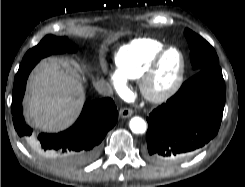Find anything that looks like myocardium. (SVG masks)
I'll use <instances>...</instances> for the list:
<instances>
[{
    "label": "myocardium",
    "mask_w": 245,
    "mask_h": 187,
    "mask_svg": "<svg viewBox=\"0 0 245 187\" xmlns=\"http://www.w3.org/2000/svg\"><path fill=\"white\" fill-rule=\"evenodd\" d=\"M170 51H176L180 58V67L179 70L174 77L173 81L165 88L161 90H155L153 88V84L155 79L158 76L161 63L164 57ZM186 70V60L184 53L176 46H167L164 47L155 57L150 67L144 73V75L140 78V91L143 97L155 104H160L166 102L170 98H172L180 89L185 75Z\"/></svg>",
    "instance_id": "obj_1"
}]
</instances>
